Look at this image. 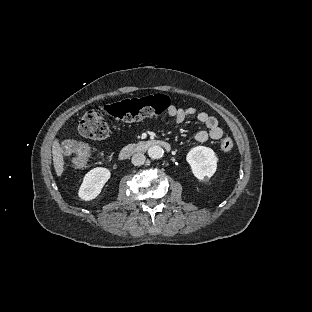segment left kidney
I'll list each match as a JSON object with an SVG mask.
<instances>
[{
  "mask_svg": "<svg viewBox=\"0 0 312 312\" xmlns=\"http://www.w3.org/2000/svg\"><path fill=\"white\" fill-rule=\"evenodd\" d=\"M186 160L190 164L194 176L199 180H204L205 177L210 178L216 172L218 158L209 147L192 148L188 152Z\"/></svg>",
  "mask_w": 312,
  "mask_h": 312,
  "instance_id": "left-kidney-1",
  "label": "left kidney"
}]
</instances>
